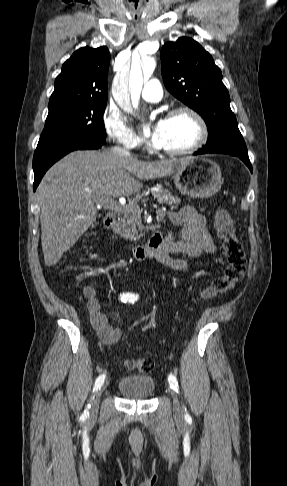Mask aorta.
<instances>
[{
	"mask_svg": "<svg viewBox=\"0 0 287 486\" xmlns=\"http://www.w3.org/2000/svg\"><path fill=\"white\" fill-rule=\"evenodd\" d=\"M156 62L149 58L141 69L139 61H132L130 73L120 72L116 75L112 93L115 101L126 112L132 110V106L137 107L138 99L143 86V76L148 79L154 72Z\"/></svg>",
	"mask_w": 287,
	"mask_h": 486,
	"instance_id": "obj_1",
	"label": "aorta"
}]
</instances>
